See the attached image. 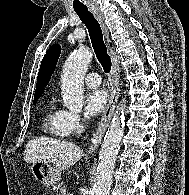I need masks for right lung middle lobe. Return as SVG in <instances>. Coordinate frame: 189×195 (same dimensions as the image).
<instances>
[{
  "label": "right lung middle lobe",
  "mask_w": 189,
  "mask_h": 195,
  "mask_svg": "<svg viewBox=\"0 0 189 195\" xmlns=\"http://www.w3.org/2000/svg\"><path fill=\"white\" fill-rule=\"evenodd\" d=\"M37 99H34V104L36 103Z\"/></svg>",
  "instance_id": "right-lung-middle-lobe-1"
}]
</instances>
